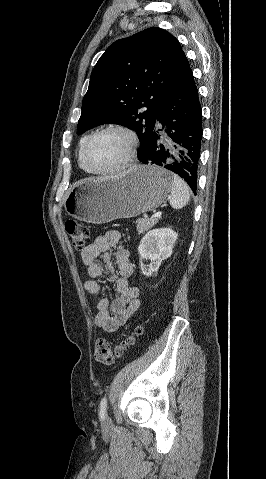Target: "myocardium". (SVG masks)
<instances>
[{"label": "myocardium", "instance_id": "1", "mask_svg": "<svg viewBox=\"0 0 266 479\" xmlns=\"http://www.w3.org/2000/svg\"><path fill=\"white\" fill-rule=\"evenodd\" d=\"M106 132H117V133H121V134L125 135L128 139L129 144H128L127 152H126L124 158L122 159V161L119 164H117L115 167H113L111 169L100 171V170H96V169H94L90 166V164L88 162L87 154H88V150H89L90 145L92 144L93 140L96 137H98L99 135L104 134ZM137 145H138V138H137V135L135 134L134 131H132L131 129H129L127 127L121 126V125H108V126L102 127L100 129L94 131L91 135L88 136V138H87V140L84 144L83 150H82V160H83V163H84L85 167L87 168V170L92 174H95V175L114 174L118 171L123 170L124 168H126L129 165V163L131 162V160L134 156Z\"/></svg>", "mask_w": 266, "mask_h": 479}]
</instances>
